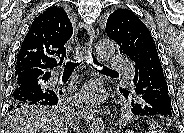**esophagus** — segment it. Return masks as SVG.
Listing matches in <instances>:
<instances>
[{
  "mask_svg": "<svg viewBox=\"0 0 184 133\" xmlns=\"http://www.w3.org/2000/svg\"><path fill=\"white\" fill-rule=\"evenodd\" d=\"M94 38H95V30L92 26L86 25L84 23L79 24L76 33L77 53L85 55V57L88 58ZM81 110L85 120L90 122L91 120L94 119L95 110H93L89 106H82Z\"/></svg>",
  "mask_w": 184,
  "mask_h": 133,
  "instance_id": "obj_1",
  "label": "esophagus"
}]
</instances>
